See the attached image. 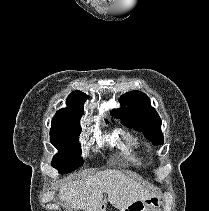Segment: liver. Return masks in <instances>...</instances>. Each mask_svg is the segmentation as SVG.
<instances>
[{"instance_id":"6515ba94","label":"liver","mask_w":209,"mask_h":211,"mask_svg":"<svg viewBox=\"0 0 209 211\" xmlns=\"http://www.w3.org/2000/svg\"><path fill=\"white\" fill-rule=\"evenodd\" d=\"M104 193L108 194L109 203L118 210L127 209L134 202L153 196L122 171L107 169L63 184L59 198L75 211H102Z\"/></svg>"}]
</instances>
